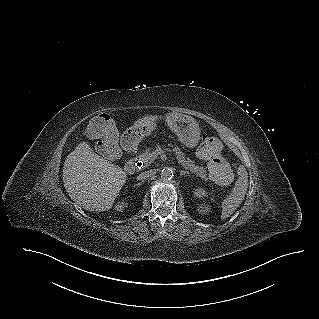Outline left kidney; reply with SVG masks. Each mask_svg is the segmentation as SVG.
Segmentation results:
<instances>
[{"instance_id":"1","label":"left kidney","mask_w":319,"mask_h":319,"mask_svg":"<svg viewBox=\"0 0 319 319\" xmlns=\"http://www.w3.org/2000/svg\"><path fill=\"white\" fill-rule=\"evenodd\" d=\"M194 194H195L197 197H202V196L205 195V191H204L203 189L199 188V189H196V190H195ZM198 211H199L200 213L205 214V213H207L209 210H208L207 207L199 206V207H198Z\"/></svg>"}]
</instances>
